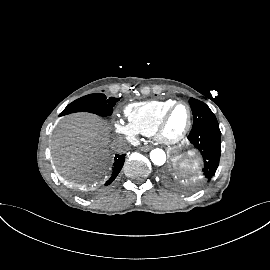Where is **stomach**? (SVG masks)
<instances>
[{
	"label": "stomach",
	"mask_w": 270,
	"mask_h": 270,
	"mask_svg": "<svg viewBox=\"0 0 270 270\" xmlns=\"http://www.w3.org/2000/svg\"><path fill=\"white\" fill-rule=\"evenodd\" d=\"M173 162L175 163V165L178 166L179 169H183L184 166L182 165L181 156L175 155V157L173 158Z\"/></svg>",
	"instance_id": "1"
}]
</instances>
